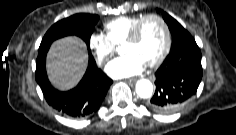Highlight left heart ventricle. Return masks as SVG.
<instances>
[{
	"instance_id": "left-heart-ventricle-1",
	"label": "left heart ventricle",
	"mask_w": 236,
	"mask_h": 135,
	"mask_svg": "<svg viewBox=\"0 0 236 135\" xmlns=\"http://www.w3.org/2000/svg\"><path fill=\"white\" fill-rule=\"evenodd\" d=\"M164 43L165 33L161 23L154 18H150L143 23L137 41L124 46L123 52L135 53L147 64L158 58Z\"/></svg>"
}]
</instances>
